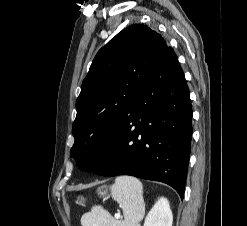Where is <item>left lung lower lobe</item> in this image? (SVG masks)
Here are the masks:
<instances>
[{"mask_svg":"<svg viewBox=\"0 0 247 226\" xmlns=\"http://www.w3.org/2000/svg\"><path fill=\"white\" fill-rule=\"evenodd\" d=\"M189 90L166 45L115 134L84 164L103 176L131 175L172 186L183 198L192 135Z\"/></svg>","mask_w":247,"mask_h":226,"instance_id":"left-lung-lower-lobe-1","label":"left lung lower lobe"}]
</instances>
